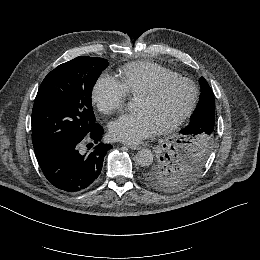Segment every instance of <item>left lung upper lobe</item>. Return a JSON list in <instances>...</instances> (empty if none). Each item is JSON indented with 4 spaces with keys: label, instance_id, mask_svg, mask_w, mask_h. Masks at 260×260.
<instances>
[{
    "label": "left lung upper lobe",
    "instance_id": "1",
    "mask_svg": "<svg viewBox=\"0 0 260 260\" xmlns=\"http://www.w3.org/2000/svg\"><path fill=\"white\" fill-rule=\"evenodd\" d=\"M199 101L214 103L213 92L207 81L199 80ZM191 121V119H190ZM190 123L170 140L159 156L142 170V178L150 186L167 192L177 191L192 183L204 169L214 146L215 130L192 133Z\"/></svg>",
    "mask_w": 260,
    "mask_h": 260
}]
</instances>
